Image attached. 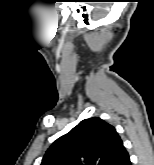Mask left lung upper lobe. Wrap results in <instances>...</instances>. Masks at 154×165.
Segmentation results:
<instances>
[{"instance_id": "1", "label": "left lung upper lobe", "mask_w": 154, "mask_h": 165, "mask_svg": "<svg viewBox=\"0 0 154 165\" xmlns=\"http://www.w3.org/2000/svg\"><path fill=\"white\" fill-rule=\"evenodd\" d=\"M122 148L115 128L92 117L57 139L41 165H116Z\"/></svg>"}]
</instances>
